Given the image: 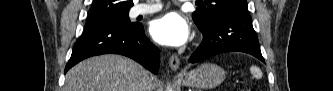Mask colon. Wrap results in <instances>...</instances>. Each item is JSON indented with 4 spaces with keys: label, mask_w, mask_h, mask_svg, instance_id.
I'll return each instance as SVG.
<instances>
[{
    "label": "colon",
    "mask_w": 333,
    "mask_h": 91,
    "mask_svg": "<svg viewBox=\"0 0 333 91\" xmlns=\"http://www.w3.org/2000/svg\"><path fill=\"white\" fill-rule=\"evenodd\" d=\"M249 91H255V89H249Z\"/></svg>",
    "instance_id": "colon-1"
}]
</instances>
